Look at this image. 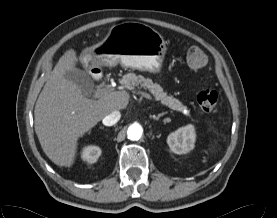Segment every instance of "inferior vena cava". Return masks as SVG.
<instances>
[{"label":"inferior vena cava","instance_id":"obj_1","mask_svg":"<svg viewBox=\"0 0 277 218\" xmlns=\"http://www.w3.org/2000/svg\"><path fill=\"white\" fill-rule=\"evenodd\" d=\"M120 117L121 113L118 110H114L103 118L102 123L105 126H113L120 120Z\"/></svg>","mask_w":277,"mask_h":218}]
</instances>
